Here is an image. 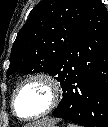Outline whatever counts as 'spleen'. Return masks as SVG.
<instances>
[{
  "label": "spleen",
  "mask_w": 108,
  "mask_h": 127,
  "mask_svg": "<svg viewBox=\"0 0 108 127\" xmlns=\"http://www.w3.org/2000/svg\"><path fill=\"white\" fill-rule=\"evenodd\" d=\"M68 127H80V126L75 125V124H69Z\"/></svg>",
  "instance_id": "1"
}]
</instances>
